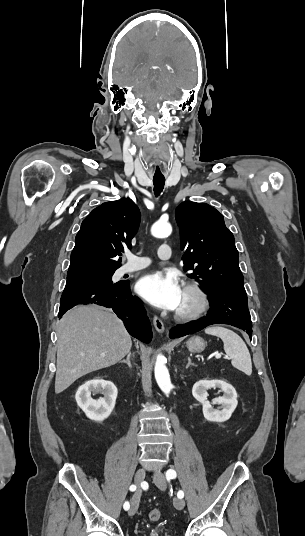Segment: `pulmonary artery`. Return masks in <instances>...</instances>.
<instances>
[{"label": "pulmonary artery", "mask_w": 305, "mask_h": 536, "mask_svg": "<svg viewBox=\"0 0 305 536\" xmlns=\"http://www.w3.org/2000/svg\"><path fill=\"white\" fill-rule=\"evenodd\" d=\"M171 250L169 244L166 241H162L159 244L158 256L162 260H167L171 257ZM129 262L121 268V274H129L142 269H145L149 266V263H142L145 260L144 255L142 254H128Z\"/></svg>", "instance_id": "pulmonary-artery-1"}]
</instances>
